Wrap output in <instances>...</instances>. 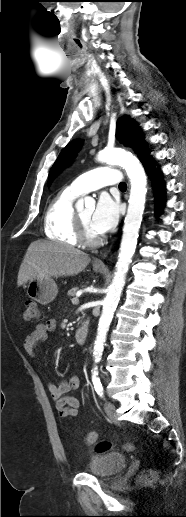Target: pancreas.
<instances>
[{
    "instance_id": "pancreas-1",
    "label": "pancreas",
    "mask_w": 186,
    "mask_h": 517,
    "mask_svg": "<svg viewBox=\"0 0 186 517\" xmlns=\"http://www.w3.org/2000/svg\"><path fill=\"white\" fill-rule=\"evenodd\" d=\"M78 287H73L68 291V296L74 297L76 295V292L78 291Z\"/></svg>"
}]
</instances>
